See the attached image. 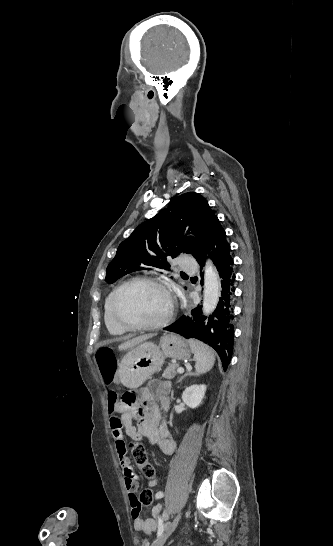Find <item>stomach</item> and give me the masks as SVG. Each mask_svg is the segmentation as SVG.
<instances>
[{"mask_svg": "<svg viewBox=\"0 0 333 546\" xmlns=\"http://www.w3.org/2000/svg\"><path fill=\"white\" fill-rule=\"evenodd\" d=\"M191 349L187 341L175 334H164L159 345L145 342L131 349L118 363L117 371L124 386L136 389L158 372L166 357L188 358Z\"/></svg>", "mask_w": 333, "mask_h": 546, "instance_id": "0dacf381", "label": "stomach"}]
</instances>
